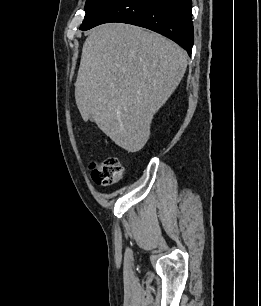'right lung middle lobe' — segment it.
<instances>
[{
  "label": "right lung middle lobe",
  "instance_id": "right-lung-middle-lobe-1",
  "mask_svg": "<svg viewBox=\"0 0 261 306\" xmlns=\"http://www.w3.org/2000/svg\"><path fill=\"white\" fill-rule=\"evenodd\" d=\"M113 0H86L85 18L80 29L88 26Z\"/></svg>",
  "mask_w": 261,
  "mask_h": 306
}]
</instances>
